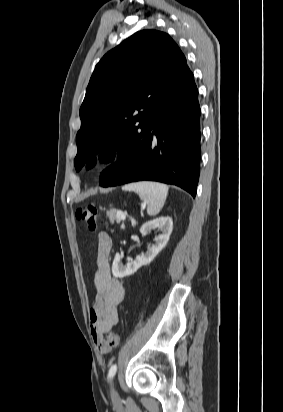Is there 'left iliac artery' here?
I'll use <instances>...</instances> for the list:
<instances>
[{"label":"left iliac artery","mask_w":283,"mask_h":412,"mask_svg":"<svg viewBox=\"0 0 283 412\" xmlns=\"http://www.w3.org/2000/svg\"><path fill=\"white\" fill-rule=\"evenodd\" d=\"M116 371H117V365L114 364V365H112V366L110 367V369H109L108 378H109V379H112V378L115 376Z\"/></svg>","instance_id":"1"}]
</instances>
